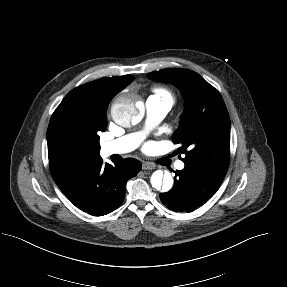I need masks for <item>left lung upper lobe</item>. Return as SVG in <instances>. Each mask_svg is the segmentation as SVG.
I'll return each mask as SVG.
<instances>
[{"label":"left lung upper lobe","mask_w":287,"mask_h":287,"mask_svg":"<svg viewBox=\"0 0 287 287\" xmlns=\"http://www.w3.org/2000/svg\"><path fill=\"white\" fill-rule=\"evenodd\" d=\"M155 81L180 88L186 108L172 141L185 164L198 167L223 181L230 158V119L220 93L199 74L187 69H164L148 73Z\"/></svg>","instance_id":"5c2ea615"}]
</instances>
